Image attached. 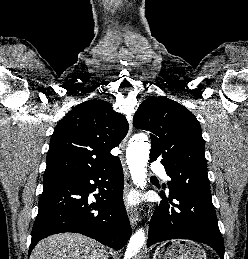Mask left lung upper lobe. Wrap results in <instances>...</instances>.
Returning <instances> with one entry per match:
<instances>
[{
    "label": "left lung upper lobe",
    "instance_id": "1",
    "mask_svg": "<svg viewBox=\"0 0 248 259\" xmlns=\"http://www.w3.org/2000/svg\"><path fill=\"white\" fill-rule=\"evenodd\" d=\"M133 125L150 132V161L165 166L170 192L211 199L201 127L188 109L167 97H150L139 106Z\"/></svg>",
    "mask_w": 248,
    "mask_h": 259
}]
</instances>
